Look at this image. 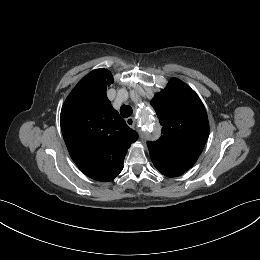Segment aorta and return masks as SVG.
Wrapping results in <instances>:
<instances>
[{
  "mask_svg": "<svg viewBox=\"0 0 260 260\" xmlns=\"http://www.w3.org/2000/svg\"><path fill=\"white\" fill-rule=\"evenodd\" d=\"M139 115L140 118H142V127L144 133H146L148 136H154L155 130L153 128L152 111L144 107V109H142V113H140Z\"/></svg>",
  "mask_w": 260,
  "mask_h": 260,
  "instance_id": "aorta-1",
  "label": "aorta"
}]
</instances>
